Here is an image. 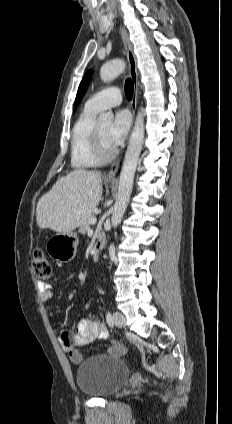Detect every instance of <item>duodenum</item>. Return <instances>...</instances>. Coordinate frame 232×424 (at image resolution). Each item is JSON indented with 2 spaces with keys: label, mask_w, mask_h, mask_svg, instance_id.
Returning a JSON list of instances; mask_svg holds the SVG:
<instances>
[{
  "label": "duodenum",
  "mask_w": 232,
  "mask_h": 424,
  "mask_svg": "<svg viewBox=\"0 0 232 424\" xmlns=\"http://www.w3.org/2000/svg\"><path fill=\"white\" fill-rule=\"evenodd\" d=\"M105 245V237L104 236H99L98 239L96 240V244L94 247V254H93V260L96 261L100 252L102 251L103 247Z\"/></svg>",
  "instance_id": "obj_1"
}]
</instances>
